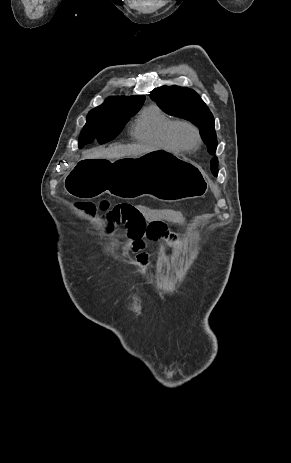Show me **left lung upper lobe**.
<instances>
[{
  "label": "left lung upper lobe",
  "instance_id": "5c2ea615",
  "mask_svg": "<svg viewBox=\"0 0 291 463\" xmlns=\"http://www.w3.org/2000/svg\"><path fill=\"white\" fill-rule=\"evenodd\" d=\"M150 98L156 101L158 106L169 115L189 120L195 124L200 129V134L208 147V151L215 154L217 137L214 117L194 90L175 85L161 86L151 92ZM211 171L217 176V157L212 159Z\"/></svg>",
  "mask_w": 291,
  "mask_h": 463
}]
</instances>
